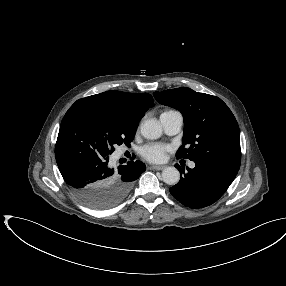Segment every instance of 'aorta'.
Here are the masks:
<instances>
[{
    "label": "aorta",
    "instance_id": "aorta-1",
    "mask_svg": "<svg viewBox=\"0 0 286 286\" xmlns=\"http://www.w3.org/2000/svg\"><path fill=\"white\" fill-rule=\"evenodd\" d=\"M144 138L154 140L162 135L161 126L154 120H147L140 127ZM180 173L175 167H166L162 171V180L168 185H175L179 182Z\"/></svg>",
    "mask_w": 286,
    "mask_h": 286
}]
</instances>
